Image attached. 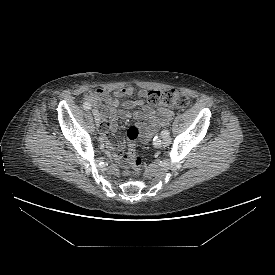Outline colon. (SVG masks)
I'll return each instance as SVG.
<instances>
[{
	"mask_svg": "<svg viewBox=\"0 0 275 275\" xmlns=\"http://www.w3.org/2000/svg\"><path fill=\"white\" fill-rule=\"evenodd\" d=\"M96 95V91L89 90L85 93V99L90 101ZM147 101L154 106H169L175 108H186L189 105V97L186 93L175 89L152 90L147 94ZM140 130L137 126H131L127 130L129 149L127 154V163L134 173L138 174L141 169L142 160L137 156L134 142L138 138Z\"/></svg>",
	"mask_w": 275,
	"mask_h": 275,
	"instance_id": "5ec220e1",
	"label": "colon"
}]
</instances>
